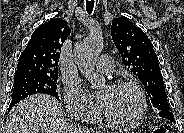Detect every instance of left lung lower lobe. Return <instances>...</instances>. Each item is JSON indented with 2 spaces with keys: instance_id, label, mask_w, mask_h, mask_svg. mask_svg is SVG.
Wrapping results in <instances>:
<instances>
[{
  "instance_id": "0a47b994",
  "label": "left lung lower lobe",
  "mask_w": 184,
  "mask_h": 133,
  "mask_svg": "<svg viewBox=\"0 0 184 133\" xmlns=\"http://www.w3.org/2000/svg\"><path fill=\"white\" fill-rule=\"evenodd\" d=\"M159 115H160L161 117H164V118L170 120L171 122H174L173 113H172L171 110H169V109H165V110L159 111Z\"/></svg>"
}]
</instances>
